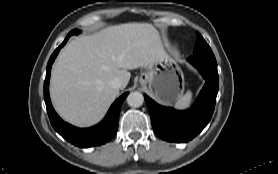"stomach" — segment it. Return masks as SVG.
<instances>
[{
	"label": "stomach",
	"mask_w": 278,
	"mask_h": 174,
	"mask_svg": "<svg viewBox=\"0 0 278 174\" xmlns=\"http://www.w3.org/2000/svg\"><path fill=\"white\" fill-rule=\"evenodd\" d=\"M139 82L148 85L151 94L161 103L172 105L184 92V75L178 64L170 57L145 67Z\"/></svg>",
	"instance_id": "1"
}]
</instances>
